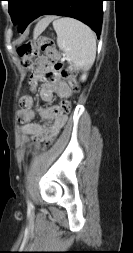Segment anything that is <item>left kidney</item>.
<instances>
[{
  "instance_id": "obj_1",
  "label": "left kidney",
  "mask_w": 133,
  "mask_h": 253,
  "mask_svg": "<svg viewBox=\"0 0 133 253\" xmlns=\"http://www.w3.org/2000/svg\"><path fill=\"white\" fill-rule=\"evenodd\" d=\"M86 77H87L86 74L82 75V76H81V80H82V81L86 80Z\"/></svg>"
}]
</instances>
